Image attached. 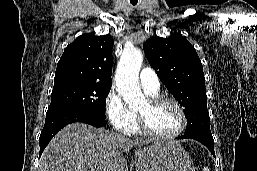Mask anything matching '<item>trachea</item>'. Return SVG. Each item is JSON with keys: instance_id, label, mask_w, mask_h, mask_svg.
<instances>
[{"instance_id": "obj_1", "label": "trachea", "mask_w": 257, "mask_h": 171, "mask_svg": "<svg viewBox=\"0 0 257 171\" xmlns=\"http://www.w3.org/2000/svg\"><path fill=\"white\" fill-rule=\"evenodd\" d=\"M132 5H136V3H132Z\"/></svg>"}]
</instances>
